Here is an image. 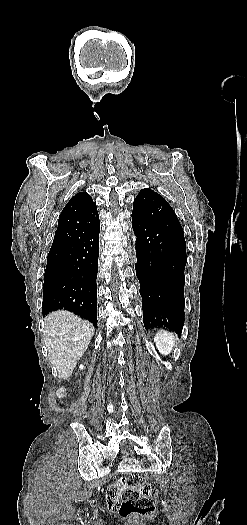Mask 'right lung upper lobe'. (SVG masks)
Segmentation results:
<instances>
[{
	"label": "right lung upper lobe",
	"mask_w": 247,
	"mask_h": 525,
	"mask_svg": "<svg viewBox=\"0 0 247 525\" xmlns=\"http://www.w3.org/2000/svg\"><path fill=\"white\" fill-rule=\"evenodd\" d=\"M99 226L96 204L86 192L73 196L62 210L50 251L87 235Z\"/></svg>",
	"instance_id": "1"
}]
</instances>
